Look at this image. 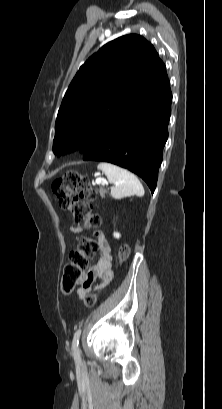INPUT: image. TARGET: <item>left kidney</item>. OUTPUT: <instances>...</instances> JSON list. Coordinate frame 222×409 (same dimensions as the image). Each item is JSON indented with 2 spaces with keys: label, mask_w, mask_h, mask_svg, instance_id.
I'll return each instance as SVG.
<instances>
[{
  "label": "left kidney",
  "mask_w": 222,
  "mask_h": 409,
  "mask_svg": "<svg viewBox=\"0 0 222 409\" xmlns=\"http://www.w3.org/2000/svg\"><path fill=\"white\" fill-rule=\"evenodd\" d=\"M114 237L118 239V238H120V234L118 232H115Z\"/></svg>",
  "instance_id": "5707ae66"
}]
</instances>
